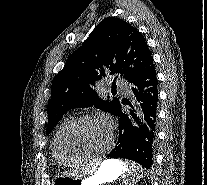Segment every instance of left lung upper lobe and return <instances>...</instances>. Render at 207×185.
I'll use <instances>...</instances> for the list:
<instances>
[{"mask_svg":"<svg viewBox=\"0 0 207 185\" xmlns=\"http://www.w3.org/2000/svg\"><path fill=\"white\" fill-rule=\"evenodd\" d=\"M152 64L147 43L136 28L119 18H105L53 78L46 133L72 108L95 106L116 115L121 107L120 99H100L96 82L106 75H118L131 82ZM115 80L112 91L116 88Z\"/></svg>","mask_w":207,"mask_h":185,"instance_id":"5c2ea615","label":"left lung upper lobe"}]
</instances>
